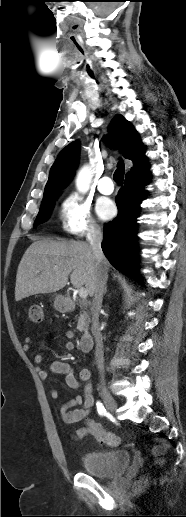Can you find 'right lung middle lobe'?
Masks as SVG:
<instances>
[{"label":"right lung middle lobe","mask_w":186,"mask_h":517,"mask_svg":"<svg viewBox=\"0 0 186 517\" xmlns=\"http://www.w3.org/2000/svg\"><path fill=\"white\" fill-rule=\"evenodd\" d=\"M59 194H50L47 197L43 198L42 204L39 210V213L35 219L34 226L37 224L43 223L47 220L49 217L51 210L53 208L55 199L58 197Z\"/></svg>","instance_id":"dd1d6c3e"}]
</instances>
